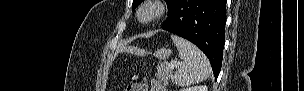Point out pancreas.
Masks as SVG:
<instances>
[{"label": "pancreas", "mask_w": 304, "mask_h": 91, "mask_svg": "<svg viewBox=\"0 0 304 91\" xmlns=\"http://www.w3.org/2000/svg\"><path fill=\"white\" fill-rule=\"evenodd\" d=\"M173 72L172 69L166 65L157 66V71L155 73L156 78L163 82L164 84H168V80L172 77Z\"/></svg>", "instance_id": "obj_1"}]
</instances>
